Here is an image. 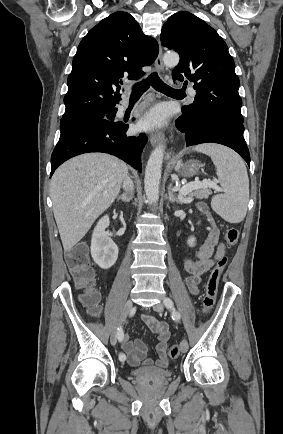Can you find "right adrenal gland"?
<instances>
[{
    "label": "right adrenal gland",
    "instance_id": "2a0ac1e0",
    "mask_svg": "<svg viewBox=\"0 0 283 434\" xmlns=\"http://www.w3.org/2000/svg\"><path fill=\"white\" fill-rule=\"evenodd\" d=\"M134 193H131L130 195L122 194L118 197V201L122 200L124 203L130 202L132 200Z\"/></svg>",
    "mask_w": 283,
    "mask_h": 434
}]
</instances>
